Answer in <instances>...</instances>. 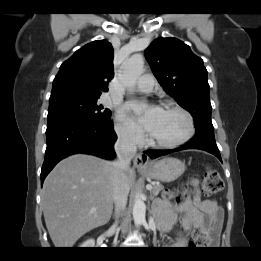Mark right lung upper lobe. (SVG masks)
Instances as JSON below:
<instances>
[{"label": "right lung upper lobe", "mask_w": 261, "mask_h": 261, "mask_svg": "<svg viewBox=\"0 0 261 261\" xmlns=\"http://www.w3.org/2000/svg\"><path fill=\"white\" fill-rule=\"evenodd\" d=\"M113 47L107 40L86 44L62 63L52 92H78L100 96L113 77Z\"/></svg>", "instance_id": "obj_1"}]
</instances>
